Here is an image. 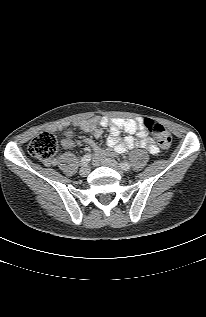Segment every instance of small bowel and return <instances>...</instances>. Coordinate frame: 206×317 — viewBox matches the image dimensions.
Returning <instances> with one entry per match:
<instances>
[{
  "instance_id": "c3829d8e",
  "label": "small bowel",
  "mask_w": 206,
  "mask_h": 317,
  "mask_svg": "<svg viewBox=\"0 0 206 317\" xmlns=\"http://www.w3.org/2000/svg\"><path fill=\"white\" fill-rule=\"evenodd\" d=\"M142 119H124V118H107L96 117L90 120H83L77 122L75 125L84 132H90L95 138L102 135V128L109 129V136L107 138V145L109 149H101L96 143L87 138L84 140L91 146L97 154V158L108 155L122 154L127 150L134 148H145L151 154H156L159 151L158 146L144 127ZM124 131L128 135L125 138L120 137V133ZM63 148L70 149L74 146V141L70 135L61 141ZM49 165H56L57 161L53 160Z\"/></svg>"
}]
</instances>
